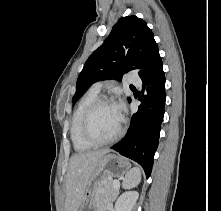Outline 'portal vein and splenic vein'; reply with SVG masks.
<instances>
[{"mask_svg":"<svg viewBox=\"0 0 221 211\" xmlns=\"http://www.w3.org/2000/svg\"><path fill=\"white\" fill-rule=\"evenodd\" d=\"M113 185H114L115 188H119V187H120V182H119V180H114V181H113Z\"/></svg>","mask_w":221,"mask_h":211,"instance_id":"obj_1","label":"portal vein and splenic vein"}]
</instances>
